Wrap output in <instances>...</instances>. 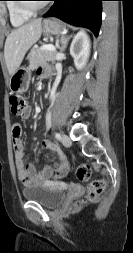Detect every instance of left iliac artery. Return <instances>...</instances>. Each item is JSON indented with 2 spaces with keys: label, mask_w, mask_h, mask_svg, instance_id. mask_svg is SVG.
<instances>
[{
  "label": "left iliac artery",
  "mask_w": 133,
  "mask_h": 253,
  "mask_svg": "<svg viewBox=\"0 0 133 253\" xmlns=\"http://www.w3.org/2000/svg\"><path fill=\"white\" fill-rule=\"evenodd\" d=\"M55 137H56L57 140H60V139H61L60 133L56 132V133H55Z\"/></svg>",
  "instance_id": "left-iliac-artery-1"
}]
</instances>
